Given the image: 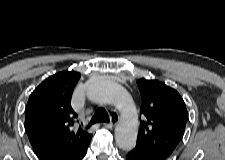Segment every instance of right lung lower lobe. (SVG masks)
Masks as SVG:
<instances>
[{
    "label": "right lung lower lobe",
    "instance_id": "obj_1",
    "mask_svg": "<svg viewBox=\"0 0 225 160\" xmlns=\"http://www.w3.org/2000/svg\"><path fill=\"white\" fill-rule=\"evenodd\" d=\"M86 151H87V149L80 156H78L75 160H82L86 154ZM43 160H46V159L44 158Z\"/></svg>",
    "mask_w": 225,
    "mask_h": 160
}]
</instances>
